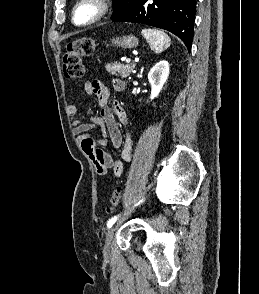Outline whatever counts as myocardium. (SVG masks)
<instances>
[{
	"mask_svg": "<svg viewBox=\"0 0 259 294\" xmlns=\"http://www.w3.org/2000/svg\"><path fill=\"white\" fill-rule=\"evenodd\" d=\"M86 3H94L98 9L97 13L90 20L83 22V23H79V22H77V19H76L78 10ZM111 6H112L111 0H78L76 2L75 6L73 7V10L71 13L72 22L75 25L80 26V27H86V26L93 25V24L99 22L100 20H102L110 12Z\"/></svg>",
	"mask_w": 259,
	"mask_h": 294,
	"instance_id": "f54148a6",
	"label": "myocardium"
}]
</instances>
